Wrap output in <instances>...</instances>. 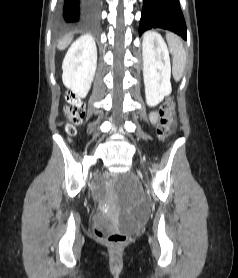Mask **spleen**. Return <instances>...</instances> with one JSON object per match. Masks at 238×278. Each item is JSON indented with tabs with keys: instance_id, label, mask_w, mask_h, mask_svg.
Wrapping results in <instances>:
<instances>
[{
	"instance_id": "3e777b00",
	"label": "spleen",
	"mask_w": 238,
	"mask_h": 278,
	"mask_svg": "<svg viewBox=\"0 0 238 278\" xmlns=\"http://www.w3.org/2000/svg\"><path fill=\"white\" fill-rule=\"evenodd\" d=\"M166 40L173 55V76L176 81H179L184 72L187 55L178 36L167 33Z\"/></svg>"
}]
</instances>
